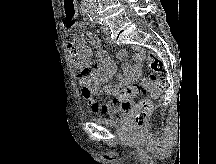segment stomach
Here are the masks:
<instances>
[{"label":"stomach","mask_w":216,"mask_h":164,"mask_svg":"<svg viewBox=\"0 0 216 164\" xmlns=\"http://www.w3.org/2000/svg\"><path fill=\"white\" fill-rule=\"evenodd\" d=\"M62 3H65L64 20H78L77 7L74 0H62Z\"/></svg>","instance_id":"stomach-1"}]
</instances>
